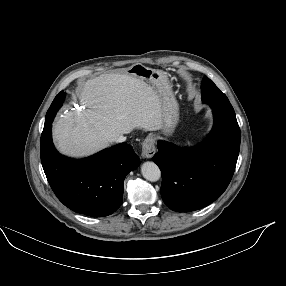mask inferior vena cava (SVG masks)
Masks as SVG:
<instances>
[{"mask_svg": "<svg viewBox=\"0 0 286 286\" xmlns=\"http://www.w3.org/2000/svg\"><path fill=\"white\" fill-rule=\"evenodd\" d=\"M126 140V137L123 135H119L116 138H114V142L120 143V142H124Z\"/></svg>", "mask_w": 286, "mask_h": 286, "instance_id": "1", "label": "inferior vena cava"}]
</instances>
